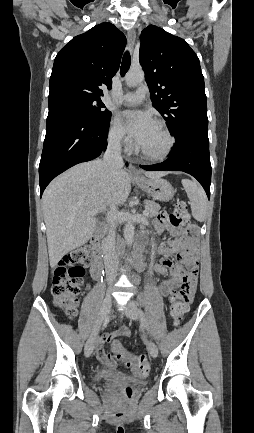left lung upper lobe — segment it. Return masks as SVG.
<instances>
[{"label": "left lung upper lobe", "mask_w": 254, "mask_h": 433, "mask_svg": "<svg viewBox=\"0 0 254 433\" xmlns=\"http://www.w3.org/2000/svg\"><path fill=\"white\" fill-rule=\"evenodd\" d=\"M139 61L152 106L177 137L190 128L208 130L204 77L195 52L181 38L150 25L142 31Z\"/></svg>", "instance_id": "obj_1"}]
</instances>
